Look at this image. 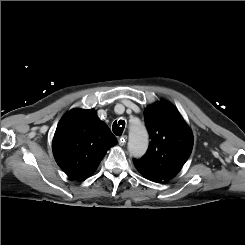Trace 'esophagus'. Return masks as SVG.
Returning <instances> with one entry per match:
<instances>
[{"mask_svg": "<svg viewBox=\"0 0 245 245\" xmlns=\"http://www.w3.org/2000/svg\"><path fill=\"white\" fill-rule=\"evenodd\" d=\"M120 146H125L127 142V135H123L118 140Z\"/></svg>", "mask_w": 245, "mask_h": 245, "instance_id": "obj_1", "label": "esophagus"}]
</instances>
